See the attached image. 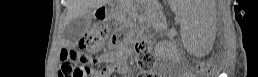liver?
I'll return each mask as SVG.
<instances>
[{
  "mask_svg": "<svg viewBox=\"0 0 258 77\" xmlns=\"http://www.w3.org/2000/svg\"><path fill=\"white\" fill-rule=\"evenodd\" d=\"M108 0H66V24L73 19L85 16L94 8L105 5Z\"/></svg>",
  "mask_w": 258,
  "mask_h": 77,
  "instance_id": "6515ba94",
  "label": "liver"
}]
</instances>
